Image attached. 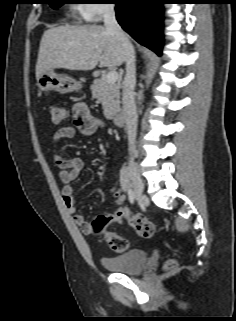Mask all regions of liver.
I'll return each instance as SVG.
<instances>
[{"label":"liver","mask_w":236,"mask_h":321,"mask_svg":"<svg viewBox=\"0 0 236 321\" xmlns=\"http://www.w3.org/2000/svg\"><path fill=\"white\" fill-rule=\"evenodd\" d=\"M126 60L125 49L117 37L101 25L59 26L42 36L36 63V79L56 68L92 70L118 67Z\"/></svg>","instance_id":"6515ba94"}]
</instances>
